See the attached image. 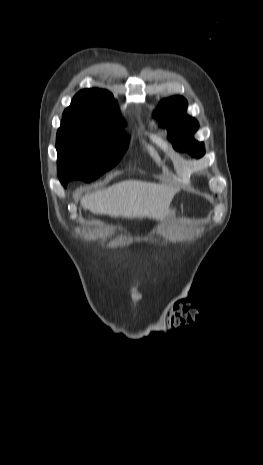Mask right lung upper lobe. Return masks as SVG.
Returning a JSON list of instances; mask_svg holds the SVG:
<instances>
[{
	"label": "right lung upper lobe",
	"instance_id": "right-lung-upper-lobe-1",
	"mask_svg": "<svg viewBox=\"0 0 263 465\" xmlns=\"http://www.w3.org/2000/svg\"><path fill=\"white\" fill-rule=\"evenodd\" d=\"M65 116H85L112 123L120 122V112L114 97L107 90L84 89L72 99Z\"/></svg>",
	"mask_w": 263,
	"mask_h": 465
}]
</instances>
